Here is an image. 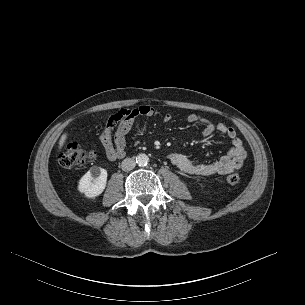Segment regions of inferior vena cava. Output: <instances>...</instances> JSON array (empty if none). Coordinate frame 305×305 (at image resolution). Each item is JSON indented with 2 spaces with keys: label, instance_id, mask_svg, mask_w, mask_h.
<instances>
[{
  "label": "inferior vena cava",
  "instance_id": "inferior-vena-cava-1",
  "mask_svg": "<svg viewBox=\"0 0 305 305\" xmlns=\"http://www.w3.org/2000/svg\"><path fill=\"white\" fill-rule=\"evenodd\" d=\"M135 160L132 159V158H125L123 161H122V170L123 171H130L132 169L135 168Z\"/></svg>",
  "mask_w": 305,
  "mask_h": 305
}]
</instances>
